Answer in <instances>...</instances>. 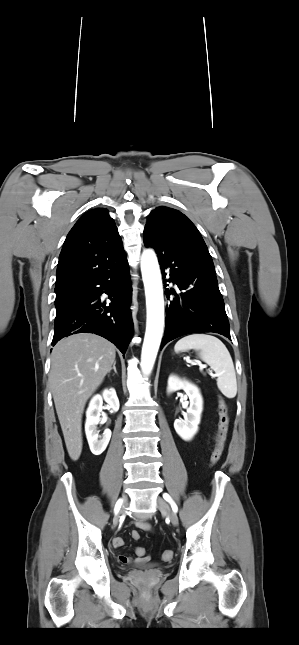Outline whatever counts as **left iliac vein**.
Wrapping results in <instances>:
<instances>
[{
	"label": "left iliac vein",
	"instance_id": "left-iliac-vein-1",
	"mask_svg": "<svg viewBox=\"0 0 299 645\" xmlns=\"http://www.w3.org/2000/svg\"><path fill=\"white\" fill-rule=\"evenodd\" d=\"M157 507L163 514H166L170 518L171 523L174 526L178 525V516L176 512L169 508L168 504L162 497L157 498Z\"/></svg>",
	"mask_w": 299,
	"mask_h": 645
}]
</instances>
